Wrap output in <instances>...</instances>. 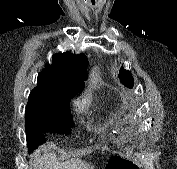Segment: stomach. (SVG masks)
I'll list each match as a JSON object with an SVG mask.
<instances>
[{
    "mask_svg": "<svg viewBox=\"0 0 177 169\" xmlns=\"http://www.w3.org/2000/svg\"><path fill=\"white\" fill-rule=\"evenodd\" d=\"M107 169H141V166L130 157L116 155L111 157Z\"/></svg>",
    "mask_w": 177,
    "mask_h": 169,
    "instance_id": "0dacf381",
    "label": "stomach"
}]
</instances>
